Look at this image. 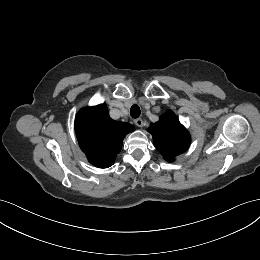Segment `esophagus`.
Wrapping results in <instances>:
<instances>
[{
  "label": "esophagus",
  "instance_id": "1",
  "mask_svg": "<svg viewBox=\"0 0 260 260\" xmlns=\"http://www.w3.org/2000/svg\"><path fill=\"white\" fill-rule=\"evenodd\" d=\"M136 126L142 127L143 126V120L141 118L134 119L133 121Z\"/></svg>",
  "mask_w": 260,
  "mask_h": 260
}]
</instances>
